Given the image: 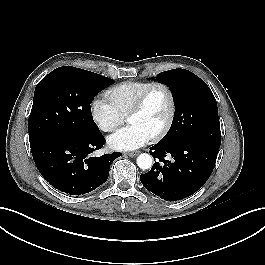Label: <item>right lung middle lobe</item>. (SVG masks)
Returning a JSON list of instances; mask_svg holds the SVG:
<instances>
[{
	"mask_svg": "<svg viewBox=\"0 0 265 265\" xmlns=\"http://www.w3.org/2000/svg\"><path fill=\"white\" fill-rule=\"evenodd\" d=\"M114 80L83 69L64 66L46 75L36 86L28 120L29 140L99 133L91 102Z\"/></svg>",
	"mask_w": 265,
	"mask_h": 265,
	"instance_id": "right-lung-middle-lobe-1",
	"label": "right lung middle lobe"
}]
</instances>
